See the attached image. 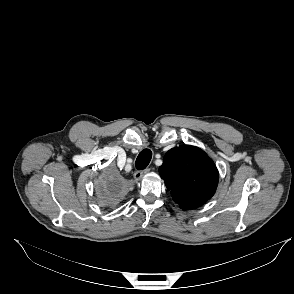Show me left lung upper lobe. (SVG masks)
Returning a JSON list of instances; mask_svg holds the SVG:
<instances>
[{
    "label": "left lung upper lobe",
    "mask_w": 294,
    "mask_h": 294,
    "mask_svg": "<svg viewBox=\"0 0 294 294\" xmlns=\"http://www.w3.org/2000/svg\"><path fill=\"white\" fill-rule=\"evenodd\" d=\"M159 173L173 200L183 210L195 209L210 199L219 179L218 170L208 155L188 145L169 150Z\"/></svg>",
    "instance_id": "5c2ea615"
}]
</instances>
